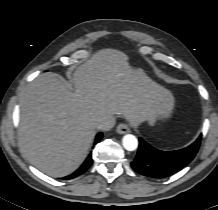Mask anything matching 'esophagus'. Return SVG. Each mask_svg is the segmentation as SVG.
Segmentation results:
<instances>
[{
  "label": "esophagus",
  "instance_id": "obj_1",
  "mask_svg": "<svg viewBox=\"0 0 218 210\" xmlns=\"http://www.w3.org/2000/svg\"><path fill=\"white\" fill-rule=\"evenodd\" d=\"M116 131L119 134H126V133H129L131 130L127 124L121 123L117 126Z\"/></svg>",
  "mask_w": 218,
  "mask_h": 210
}]
</instances>
